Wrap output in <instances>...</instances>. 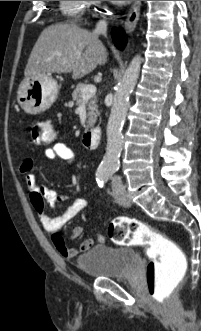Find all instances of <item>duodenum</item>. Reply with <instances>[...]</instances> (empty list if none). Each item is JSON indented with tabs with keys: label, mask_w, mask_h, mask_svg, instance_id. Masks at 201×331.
I'll return each mask as SVG.
<instances>
[{
	"label": "duodenum",
	"mask_w": 201,
	"mask_h": 331,
	"mask_svg": "<svg viewBox=\"0 0 201 331\" xmlns=\"http://www.w3.org/2000/svg\"><path fill=\"white\" fill-rule=\"evenodd\" d=\"M83 143L90 149H96L101 143V129L98 127L89 128L83 134Z\"/></svg>",
	"instance_id": "obj_1"
}]
</instances>
